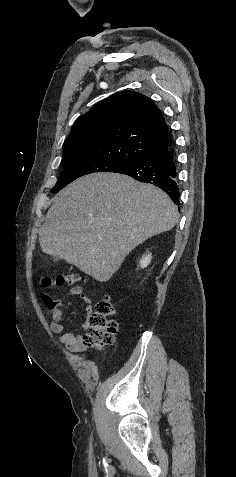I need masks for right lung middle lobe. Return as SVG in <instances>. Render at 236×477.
I'll use <instances>...</instances> for the list:
<instances>
[{
	"label": "right lung middle lobe",
	"instance_id": "1",
	"mask_svg": "<svg viewBox=\"0 0 236 477\" xmlns=\"http://www.w3.org/2000/svg\"><path fill=\"white\" fill-rule=\"evenodd\" d=\"M140 157L134 158V161ZM64 170L61 173L56 185L52 188V192H56L64 188L75 179L90 173L96 172H115L117 169L128 164L123 160H116L107 157H86L71 159L62 162Z\"/></svg>",
	"mask_w": 236,
	"mask_h": 477
}]
</instances>
